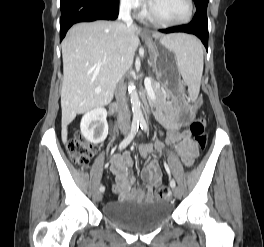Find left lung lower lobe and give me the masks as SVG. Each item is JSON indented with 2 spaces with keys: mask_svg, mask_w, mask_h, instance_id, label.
I'll return each mask as SVG.
<instances>
[{
  "mask_svg": "<svg viewBox=\"0 0 264 247\" xmlns=\"http://www.w3.org/2000/svg\"><path fill=\"white\" fill-rule=\"evenodd\" d=\"M160 32H185L194 34L201 39L205 48L208 49V20L207 13L205 12H196L193 20L188 25L161 29Z\"/></svg>",
  "mask_w": 264,
  "mask_h": 247,
  "instance_id": "1",
  "label": "left lung lower lobe"
}]
</instances>
